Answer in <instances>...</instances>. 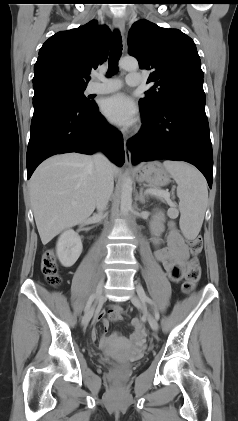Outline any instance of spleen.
<instances>
[{"mask_svg": "<svg viewBox=\"0 0 238 421\" xmlns=\"http://www.w3.org/2000/svg\"><path fill=\"white\" fill-rule=\"evenodd\" d=\"M163 166L178 185L180 228L186 238L193 239L201 230L207 208L206 180L195 167L185 162L166 160Z\"/></svg>", "mask_w": 238, "mask_h": 421, "instance_id": "3e777b00", "label": "spleen"}]
</instances>
